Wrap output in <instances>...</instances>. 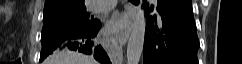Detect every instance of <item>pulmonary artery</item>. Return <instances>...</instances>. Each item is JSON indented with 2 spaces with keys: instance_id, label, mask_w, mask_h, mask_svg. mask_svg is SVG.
<instances>
[{
  "instance_id": "e3ab8cb5",
  "label": "pulmonary artery",
  "mask_w": 242,
  "mask_h": 64,
  "mask_svg": "<svg viewBox=\"0 0 242 64\" xmlns=\"http://www.w3.org/2000/svg\"><path fill=\"white\" fill-rule=\"evenodd\" d=\"M116 4L115 0H96L92 5V10L102 12L113 8Z\"/></svg>"
}]
</instances>
